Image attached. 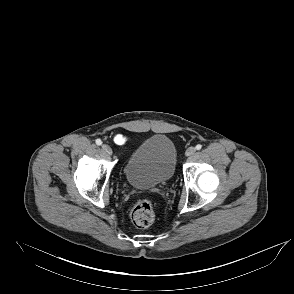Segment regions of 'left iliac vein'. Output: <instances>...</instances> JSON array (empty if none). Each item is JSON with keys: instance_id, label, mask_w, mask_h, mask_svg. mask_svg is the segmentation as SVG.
<instances>
[{"instance_id": "4c4485c4", "label": "left iliac vein", "mask_w": 294, "mask_h": 294, "mask_svg": "<svg viewBox=\"0 0 294 294\" xmlns=\"http://www.w3.org/2000/svg\"><path fill=\"white\" fill-rule=\"evenodd\" d=\"M196 152V148L195 147H189L187 150H186V156H192L194 153Z\"/></svg>"}]
</instances>
